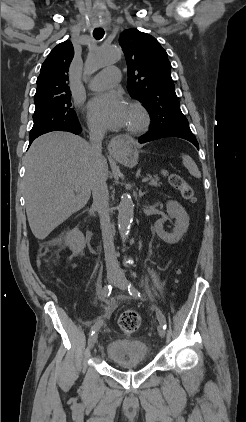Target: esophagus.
I'll list each match as a JSON object with an SVG mask.
<instances>
[{"mask_svg": "<svg viewBox=\"0 0 246 422\" xmlns=\"http://www.w3.org/2000/svg\"><path fill=\"white\" fill-rule=\"evenodd\" d=\"M122 147V141L119 137H115L111 140L108 150L111 155H116Z\"/></svg>", "mask_w": 246, "mask_h": 422, "instance_id": "esophagus-1", "label": "esophagus"}]
</instances>
